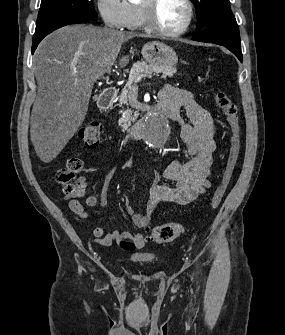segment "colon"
<instances>
[{
    "mask_svg": "<svg viewBox=\"0 0 285 335\" xmlns=\"http://www.w3.org/2000/svg\"><path fill=\"white\" fill-rule=\"evenodd\" d=\"M214 101L224 114L230 129V145L226 166L211 200V208L217 209L223 200L239 158L241 128L236 103L225 92L221 91L215 93ZM101 133L102 124L97 120H91L80 128L79 137L86 147L95 148L99 144ZM81 169L82 161L78 157H74L68 160L66 166L57 173V179L63 185L68 196L76 198L87 190L86 181L79 175ZM183 232L184 227L180 223H166L153 227L149 232V238L155 243L162 244L175 240ZM119 246L126 251H133L136 248L134 241L126 237L119 240Z\"/></svg>",
    "mask_w": 285,
    "mask_h": 335,
    "instance_id": "colon-1",
    "label": "colon"
}]
</instances>
